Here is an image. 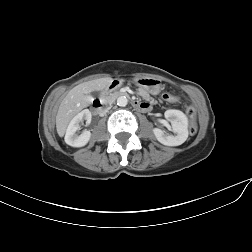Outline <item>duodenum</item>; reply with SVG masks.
<instances>
[{"instance_id": "duodenum-1", "label": "duodenum", "mask_w": 252, "mask_h": 252, "mask_svg": "<svg viewBox=\"0 0 252 252\" xmlns=\"http://www.w3.org/2000/svg\"><path fill=\"white\" fill-rule=\"evenodd\" d=\"M119 82L118 81H113L111 82L108 87L106 88L107 93L113 92L117 87H118ZM132 104L135 108L137 109H142V102H139L137 100H133ZM92 108L96 113H102L104 112V106L102 103L98 100L94 101L92 104Z\"/></svg>"}]
</instances>
